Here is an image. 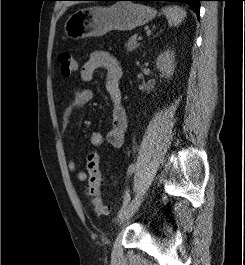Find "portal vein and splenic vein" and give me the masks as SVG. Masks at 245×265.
<instances>
[{
    "mask_svg": "<svg viewBox=\"0 0 245 265\" xmlns=\"http://www.w3.org/2000/svg\"><path fill=\"white\" fill-rule=\"evenodd\" d=\"M142 39H143L142 36H139V37H138V41H141Z\"/></svg>",
    "mask_w": 245,
    "mask_h": 265,
    "instance_id": "18ae733b",
    "label": "portal vein and splenic vein"
}]
</instances>
